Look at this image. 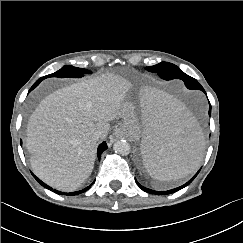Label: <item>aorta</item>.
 <instances>
[{"label":"aorta","mask_w":243,"mask_h":243,"mask_svg":"<svg viewBox=\"0 0 243 243\" xmlns=\"http://www.w3.org/2000/svg\"><path fill=\"white\" fill-rule=\"evenodd\" d=\"M113 149L120 155H128L130 153L131 147L126 140H118L114 143Z\"/></svg>","instance_id":"obj_1"}]
</instances>
